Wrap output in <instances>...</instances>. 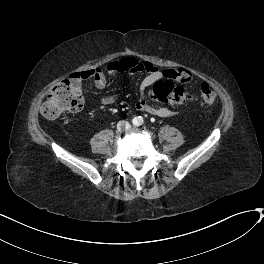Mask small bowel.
Instances as JSON below:
<instances>
[{
  "label": "small bowel",
  "mask_w": 264,
  "mask_h": 264,
  "mask_svg": "<svg viewBox=\"0 0 264 264\" xmlns=\"http://www.w3.org/2000/svg\"><path fill=\"white\" fill-rule=\"evenodd\" d=\"M107 71L110 75V81H112V79L118 73L145 71L147 74L140 84V96L137 101L136 108L139 111H143L145 113L160 118H166L173 114V111L167 107L153 105L149 97L148 89L156 82L165 78L164 71L158 69L150 63L140 62L131 57L110 62L107 65ZM182 72L184 75H186V72L184 70H182ZM71 78H76L80 81L92 79L95 86L99 89L104 88L107 84V79L105 75L98 69H90L82 72H75L72 74ZM117 99L118 94L111 93L102 96L99 101L103 105H111L115 103Z\"/></svg>",
  "instance_id": "1"
}]
</instances>
